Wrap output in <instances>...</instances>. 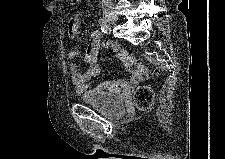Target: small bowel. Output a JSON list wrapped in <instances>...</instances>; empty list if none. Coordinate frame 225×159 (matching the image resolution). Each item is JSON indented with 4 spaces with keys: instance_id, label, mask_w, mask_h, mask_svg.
<instances>
[{
    "instance_id": "1",
    "label": "small bowel",
    "mask_w": 225,
    "mask_h": 159,
    "mask_svg": "<svg viewBox=\"0 0 225 159\" xmlns=\"http://www.w3.org/2000/svg\"><path fill=\"white\" fill-rule=\"evenodd\" d=\"M79 23L78 15H74L70 19L67 32L71 39L75 38L78 32ZM101 37L102 33L100 30H93L89 36L88 43L82 52L73 49L67 53V59L70 61L68 67L72 77V83L79 94L86 89L89 81L99 74V59L102 46L113 50L119 49L118 44L114 41H106L102 44ZM80 56H82L84 62L88 64V68L84 71H80L78 64L74 62V60ZM133 82V80L129 81L128 86H132ZM122 84L123 82L121 80L107 81L100 84L98 88L114 90Z\"/></svg>"
}]
</instances>
